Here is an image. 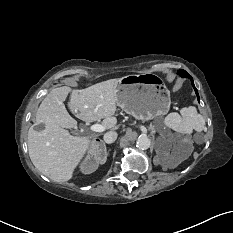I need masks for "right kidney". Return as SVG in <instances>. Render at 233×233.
Returning <instances> with one entry per match:
<instances>
[{
  "label": "right kidney",
  "mask_w": 233,
  "mask_h": 233,
  "mask_svg": "<svg viewBox=\"0 0 233 233\" xmlns=\"http://www.w3.org/2000/svg\"><path fill=\"white\" fill-rule=\"evenodd\" d=\"M107 155H102L97 150H90L89 155L80 164V171L83 174H91L97 170L99 164H104L106 162Z\"/></svg>",
  "instance_id": "ca27d5eb"
}]
</instances>
